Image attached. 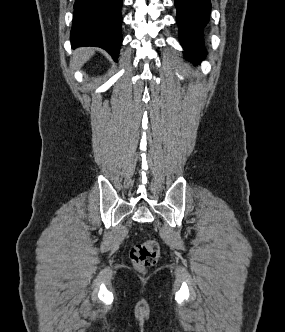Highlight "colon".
Here are the masks:
<instances>
[{"instance_id": "obj_1", "label": "colon", "mask_w": 285, "mask_h": 332, "mask_svg": "<svg viewBox=\"0 0 285 332\" xmlns=\"http://www.w3.org/2000/svg\"><path fill=\"white\" fill-rule=\"evenodd\" d=\"M159 252V244L154 240H147L131 248L130 259L137 268L146 269L156 264Z\"/></svg>"}]
</instances>
